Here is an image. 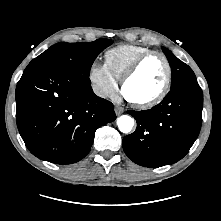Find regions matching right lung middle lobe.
I'll list each match as a JSON object with an SVG mask.
<instances>
[{
	"label": "right lung middle lobe",
	"mask_w": 221,
	"mask_h": 221,
	"mask_svg": "<svg viewBox=\"0 0 221 221\" xmlns=\"http://www.w3.org/2000/svg\"><path fill=\"white\" fill-rule=\"evenodd\" d=\"M113 42L109 39H97L93 42H60L33 59L26 69L32 67H53L90 75V68L98 56Z\"/></svg>",
	"instance_id": "1"
}]
</instances>
